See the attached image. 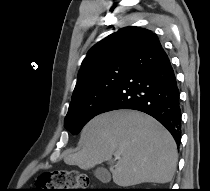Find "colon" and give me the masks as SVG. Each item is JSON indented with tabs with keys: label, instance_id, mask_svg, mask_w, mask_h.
Returning a JSON list of instances; mask_svg holds the SVG:
<instances>
[{
	"label": "colon",
	"instance_id": "obj_1",
	"mask_svg": "<svg viewBox=\"0 0 210 191\" xmlns=\"http://www.w3.org/2000/svg\"><path fill=\"white\" fill-rule=\"evenodd\" d=\"M40 191H104L93 189L89 177L77 170H57L38 177Z\"/></svg>",
	"mask_w": 210,
	"mask_h": 191
}]
</instances>
